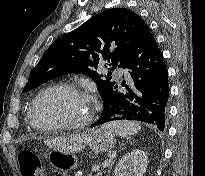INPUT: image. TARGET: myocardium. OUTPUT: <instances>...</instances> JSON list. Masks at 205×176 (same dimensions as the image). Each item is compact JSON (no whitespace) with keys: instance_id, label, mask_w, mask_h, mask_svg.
I'll use <instances>...</instances> for the list:
<instances>
[{"instance_id":"myocardium-1","label":"myocardium","mask_w":205,"mask_h":176,"mask_svg":"<svg viewBox=\"0 0 205 176\" xmlns=\"http://www.w3.org/2000/svg\"><path fill=\"white\" fill-rule=\"evenodd\" d=\"M55 90H66V91H70V92H73L79 95L87 104V111H86L85 116L81 120L77 122H73V123H56V124H49V125L39 124L35 117V112H36L38 102L45 95ZM92 115H93V104L91 102V99L86 93L83 92V90L79 86H77L74 83H70V82H60V83H56V84L50 85L49 87L45 88L44 90H42L36 95L29 109L30 123L34 128L40 131L78 130V129L85 127L86 125L90 123L92 119Z\"/></svg>"}]
</instances>
